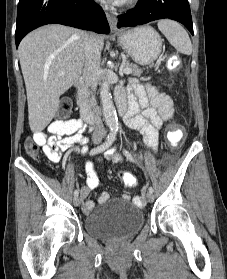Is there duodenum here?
I'll list each match as a JSON object with an SVG mask.
<instances>
[{"mask_svg": "<svg viewBox=\"0 0 227 279\" xmlns=\"http://www.w3.org/2000/svg\"><path fill=\"white\" fill-rule=\"evenodd\" d=\"M84 89H85V83L82 81L76 82L74 84V93L78 100H82V97L84 95ZM117 108L121 115H125L127 112V105L125 101H117ZM81 117L82 119L88 123L93 124L96 122L97 118L94 114V111L91 108L86 107L81 102Z\"/></svg>", "mask_w": 227, "mask_h": 279, "instance_id": "duodenum-1", "label": "duodenum"}]
</instances>
